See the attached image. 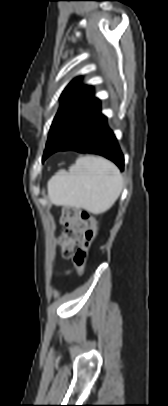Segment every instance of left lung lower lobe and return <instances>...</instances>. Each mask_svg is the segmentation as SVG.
Wrapping results in <instances>:
<instances>
[{
    "instance_id": "left-lung-lower-lobe-1",
    "label": "left lung lower lobe",
    "mask_w": 168,
    "mask_h": 406,
    "mask_svg": "<svg viewBox=\"0 0 168 406\" xmlns=\"http://www.w3.org/2000/svg\"><path fill=\"white\" fill-rule=\"evenodd\" d=\"M58 150H75L80 153L99 154L113 161L121 171L124 169L123 155L113 132L106 124V117L100 113L99 104L79 133L54 150V152Z\"/></svg>"
}]
</instances>
